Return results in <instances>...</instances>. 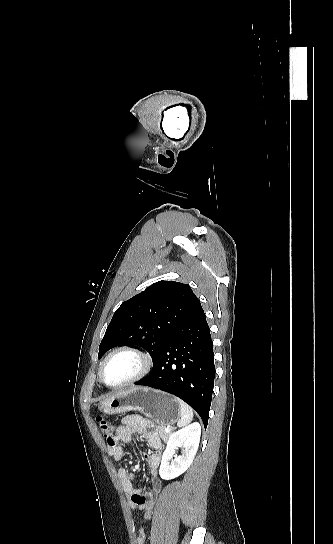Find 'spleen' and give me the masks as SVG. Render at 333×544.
Returning <instances> with one entry per match:
<instances>
[{
    "instance_id": "1",
    "label": "spleen",
    "mask_w": 333,
    "mask_h": 544,
    "mask_svg": "<svg viewBox=\"0 0 333 544\" xmlns=\"http://www.w3.org/2000/svg\"><path fill=\"white\" fill-rule=\"evenodd\" d=\"M176 400L180 406V419L177 422V426L183 427L193 420V411L191 407L180 398H176Z\"/></svg>"
}]
</instances>
